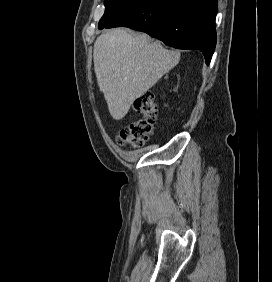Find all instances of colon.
I'll list each match as a JSON object with an SVG mask.
<instances>
[{
  "mask_svg": "<svg viewBox=\"0 0 272 282\" xmlns=\"http://www.w3.org/2000/svg\"><path fill=\"white\" fill-rule=\"evenodd\" d=\"M133 110L140 115L130 122L117 136L120 146L142 147L155 131L157 104L153 94H145L134 101Z\"/></svg>",
  "mask_w": 272,
  "mask_h": 282,
  "instance_id": "1",
  "label": "colon"
}]
</instances>
